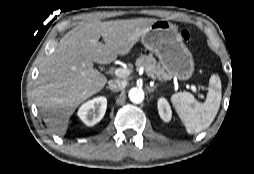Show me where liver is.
Listing matches in <instances>:
<instances>
[{
	"label": "liver",
	"instance_id": "obj_1",
	"mask_svg": "<svg viewBox=\"0 0 254 174\" xmlns=\"http://www.w3.org/2000/svg\"><path fill=\"white\" fill-rule=\"evenodd\" d=\"M155 21H91L63 36L42 65L35 90L37 106L53 132L64 135L76 108L107 83L93 62L107 64L118 55H127ZM101 36L105 44L99 42Z\"/></svg>",
	"mask_w": 254,
	"mask_h": 174
}]
</instances>
